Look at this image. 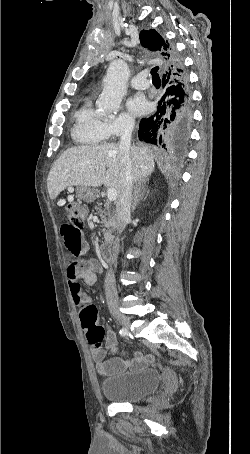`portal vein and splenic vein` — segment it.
<instances>
[{"label": "portal vein and splenic vein", "mask_w": 250, "mask_h": 454, "mask_svg": "<svg viewBox=\"0 0 250 454\" xmlns=\"http://www.w3.org/2000/svg\"><path fill=\"white\" fill-rule=\"evenodd\" d=\"M117 191L116 189L114 188H110L108 189V192H107V198H108V201L112 202V201H115L117 199Z\"/></svg>", "instance_id": "portal-vein-and-splenic-vein-1"}]
</instances>
